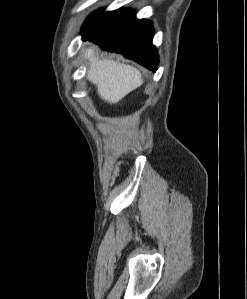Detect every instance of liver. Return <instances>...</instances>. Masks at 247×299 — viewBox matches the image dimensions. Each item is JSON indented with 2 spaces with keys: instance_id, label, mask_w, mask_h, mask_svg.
<instances>
[{
  "instance_id": "1",
  "label": "liver",
  "mask_w": 247,
  "mask_h": 299,
  "mask_svg": "<svg viewBox=\"0 0 247 299\" xmlns=\"http://www.w3.org/2000/svg\"><path fill=\"white\" fill-rule=\"evenodd\" d=\"M89 62L87 79L96 85L104 101L115 104L142 83V76L135 67L97 55L92 48L84 53Z\"/></svg>"
}]
</instances>
